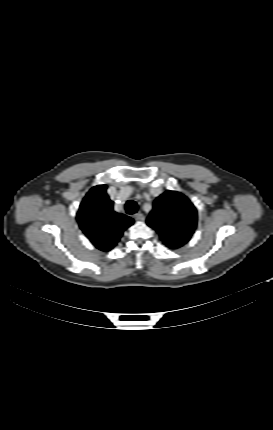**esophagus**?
I'll return each mask as SVG.
<instances>
[{"mask_svg":"<svg viewBox=\"0 0 273 430\" xmlns=\"http://www.w3.org/2000/svg\"><path fill=\"white\" fill-rule=\"evenodd\" d=\"M133 218H134L135 220H138V221H143V220H144V215H143L141 212H138V213H136V214L133 216Z\"/></svg>","mask_w":273,"mask_h":430,"instance_id":"obj_1","label":"esophagus"}]
</instances>
